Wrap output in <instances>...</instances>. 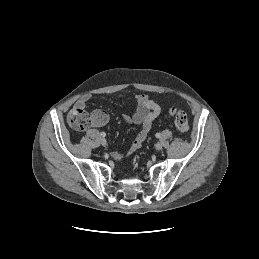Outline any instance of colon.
Segmentation results:
<instances>
[{
  "label": "colon",
  "mask_w": 259,
  "mask_h": 259,
  "mask_svg": "<svg viewBox=\"0 0 259 259\" xmlns=\"http://www.w3.org/2000/svg\"><path fill=\"white\" fill-rule=\"evenodd\" d=\"M170 115L174 120L176 128L181 133H187L189 124L186 114L176 108L170 109ZM69 125L76 131H84L89 128L93 122L90 114L82 107L75 106L67 117Z\"/></svg>",
  "instance_id": "1"
}]
</instances>
